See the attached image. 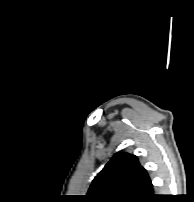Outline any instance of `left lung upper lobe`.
I'll list each match as a JSON object with an SVG mask.
<instances>
[{"label": "left lung upper lobe", "mask_w": 194, "mask_h": 202, "mask_svg": "<svg viewBox=\"0 0 194 202\" xmlns=\"http://www.w3.org/2000/svg\"><path fill=\"white\" fill-rule=\"evenodd\" d=\"M87 197L90 202H147L154 195L137 157L116 153L92 181Z\"/></svg>", "instance_id": "obj_1"}]
</instances>
